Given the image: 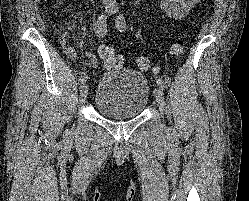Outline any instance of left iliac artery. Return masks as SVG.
Returning <instances> with one entry per match:
<instances>
[{
	"label": "left iliac artery",
	"mask_w": 249,
	"mask_h": 201,
	"mask_svg": "<svg viewBox=\"0 0 249 201\" xmlns=\"http://www.w3.org/2000/svg\"><path fill=\"white\" fill-rule=\"evenodd\" d=\"M116 27H117V29H118L119 31H121V32H123V31L126 30L127 25H126L125 17H124L123 14H121V15H119V16L117 17V19H116ZM157 84H158V86H159L162 90H164L165 87H166L165 82H164V80H163L162 78H159V79L157 80Z\"/></svg>",
	"instance_id": "left-iliac-artery-1"
}]
</instances>
